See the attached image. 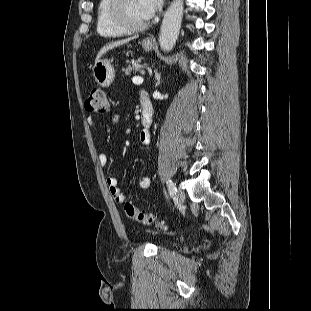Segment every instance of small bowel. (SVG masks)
<instances>
[{
	"label": "small bowel",
	"instance_id": "small-bowel-1",
	"mask_svg": "<svg viewBox=\"0 0 311 311\" xmlns=\"http://www.w3.org/2000/svg\"><path fill=\"white\" fill-rule=\"evenodd\" d=\"M143 97H148L147 95L143 94L141 97V100ZM142 105V104H141ZM120 120V116L118 114H114L112 116V122L117 124ZM88 124L90 125L91 128H94V121L92 118H88ZM139 140L140 143L143 147H148L152 144L153 138L152 134L149 130L143 129L140 134H139ZM98 160L101 166H106L108 164V157L104 153H100L98 156ZM149 178L148 177H143L139 184L143 189H146L149 187ZM106 185L108 187V190L112 196V198L117 202V203H123L126 201V195L121 191V189L118 186V180L115 177H107L106 178Z\"/></svg>",
	"mask_w": 311,
	"mask_h": 311
}]
</instances>
